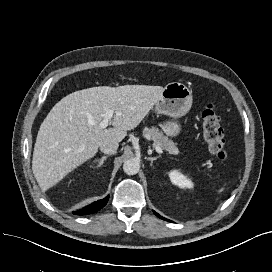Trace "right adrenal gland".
<instances>
[{
  "instance_id": "obj_1",
  "label": "right adrenal gland",
  "mask_w": 272,
  "mask_h": 272,
  "mask_svg": "<svg viewBox=\"0 0 272 272\" xmlns=\"http://www.w3.org/2000/svg\"><path fill=\"white\" fill-rule=\"evenodd\" d=\"M109 156H102L100 159H96L94 162H99L98 165L96 167H100L101 165H103V163L105 162V160L108 158ZM95 168V167H94Z\"/></svg>"
}]
</instances>
